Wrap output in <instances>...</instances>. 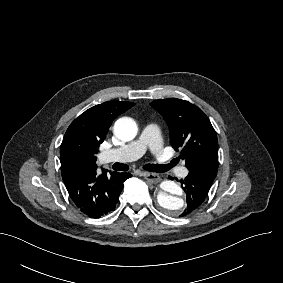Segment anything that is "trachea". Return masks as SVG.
I'll return each instance as SVG.
<instances>
[{"label":"trachea","mask_w":283,"mask_h":283,"mask_svg":"<svg viewBox=\"0 0 283 283\" xmlns=\"http://www.w3.org/2000/svg\"><path fill=\"white\" fill-rule=\"evenodd\" d=\"M175 164L173 162H171L170 164H146L143 165V169L148 170L150 172H158V173H162L165 171H168L169 169H171V167H173ZM129 165L127 164H122V163H115L113 165V169L117 170V171H124V170H129Z\"/></svg>","instance_id":"1"}]
</instances>
